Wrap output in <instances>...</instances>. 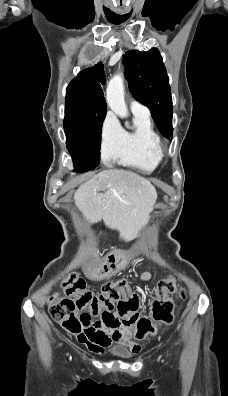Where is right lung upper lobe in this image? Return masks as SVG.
<instances>
[{
    "instance_id": "right-lung-upper-lobe-1",
    "label": "right lung upper lobe",
    "mask_w": 228,
    "mask_h": 396,
    "mask_svg": "<svg viewBox=\"0 0 228 396\" xmlns=\"http://www.w3.org/2000/svg\"><path fill=\"white\" fill-rule=\"evenodd\" d=\"M105 84L102 62L84 69L68 85L66 102L87 113L106 111L101 85Z\"/></svg>"
}]
</instances>
